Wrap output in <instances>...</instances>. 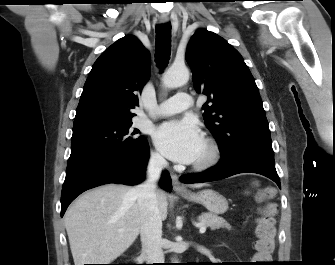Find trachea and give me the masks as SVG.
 I'll return each instance as SVG.
<instances>
[{"label": "trachea", "instance_id": "obj_1", "mask_svg": "<svg viewBox=\"0 0 335 265\" xmlns=\"http://www.w3.org/2000/svg\"><path fill=\"white\" fill-rule=\"evenodd\" d=\"M156 62L160 69H164L171 55V24L164 23L156 28Z\"/></svg>", "mask_w": 335, "mask_h": 265}]
</instances>
